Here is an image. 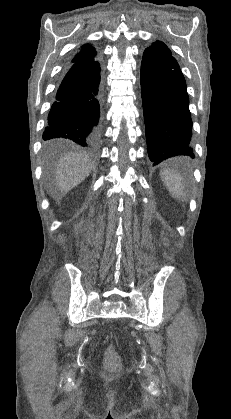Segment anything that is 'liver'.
Returning <instances> with one entry per match:
<instances>
[{
    "label": "liver",
    "instance_id": "obj_1",
    "mask_svg": "<svg viewBox=\"0 0 231 419\" xmlns=\"http://www.w3.org/2000/svg\"><path fill=\"white\" fill-rule=\"evenodd\" d=\"M91 172L90 160L82 154L69 153L56 169V184L59 192L65 194L81 183Z\"/></svg>",
    "mask_w": 231,
    "mask_h": 419
}]
</instances>
